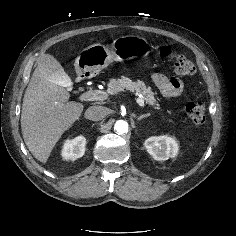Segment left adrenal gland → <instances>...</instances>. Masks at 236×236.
Listing matches in <instances>:
<instances>
[{"instance_id": "a2214340", "label": "left adrenal gland", "mask_w": 236, "mask_h": 236, "mask_svg": "<svg viewBox=\"0 0 236 236\" xmlns=\"http://www.w3.org/2000/svg\"><path fill=\"white\" fill-rule=\"evenodd\" d=\"M148 116H150L149 113H148V114L141 115L140 117L137 118V120L140 121V120H142L143 118H146V117H148Z\"/></svg>"}]
</instances>
